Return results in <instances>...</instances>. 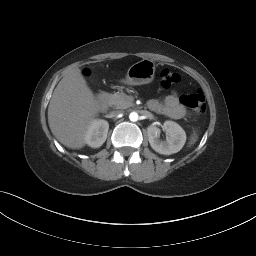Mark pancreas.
I'll return each instance as SVG.
<instances>
[{"mask_svg":"<svg viewBox=\"0 0 256 256\" xmlns=\"http://www.w3.org/2000/svg\"><path fill=\"white\" fill-rule=\"evenodd\" d=\"M109 106L116 109H125L132 105V98L125 93L116 92L114 94H106Z\"/></svg>","mask_w":256,"mask_h":256,"instance_id":"cf45deb5","label":"pancreas"}]
</instances>
